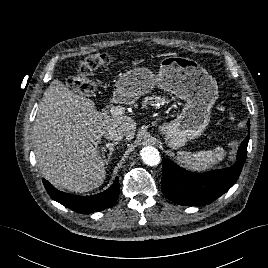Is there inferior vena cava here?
<instances>
[{
    "label": "inferior vena cava",
    "mask_w": 268,
    "mask_h": 268,
    "mask_svg": "<svg viewBox=\"0 0 268 268\" xmlns=\"http://www.w3.org/2000/svg\"><path fill=\"white\" fill-rule=\"evenodd\" d=\"M104 137L108 140H121L124 136H126L125 130L120 127H108L104 133Z\"/></svg>",
    "instance_id": "inferior-vena-cava-1"
}]
</instances>
